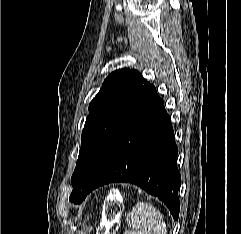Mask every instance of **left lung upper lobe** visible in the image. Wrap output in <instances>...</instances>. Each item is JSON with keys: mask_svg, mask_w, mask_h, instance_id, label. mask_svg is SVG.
Returning <instances> with one entry per match:
<instances>
[{"mask_svg": "<svg viewBox=\"0 0 241 234\" xmlns=\"http://www.w3.org/2000/svg\"><path fill=\"white\" fill-rule=\"evenodd\" d=\"M151 86L137 70L119 69L104 81L89 105L76 168L71 178L70 202L86 198L89 183L121 126Z\"/></svg>", "mask_w": 241, "mask_h": 234, "instance_id": "obj_1", "label": "left lung upper lobe"}]
</instances>
